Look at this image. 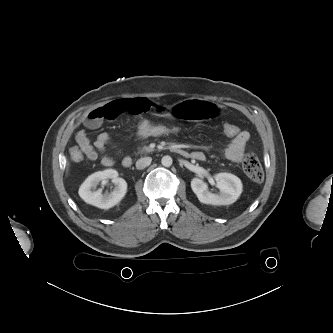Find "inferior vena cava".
<instances>
[{
    "label": "inferior vena cava",
    "instance_id": "602c4592",
    "mask_svg": "<svg viewBox=\"0 0 333 333\" xmlns=\"http://www.w3.org/2000/svg\"><path fill=\"white\" fill-rule=\"evenodd\" d=\"M151 161H152L151 157L140 158L136 162V168L139 170L144 169L145 167L150 165Z\"/></svg>",
    "mask_w": 333,
    "mask_h": 333
}]
</instances>
